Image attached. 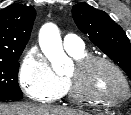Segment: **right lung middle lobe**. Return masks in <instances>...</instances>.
<instances>
[{"mask_svg": "<svg viewBox=\"0 0 131 115\" xmlns=\"http://www.w3.org/2000/svg\"><path fill=\"white\" fill-rule=\"evenodd\" d=\"M22 51L0 58V101L22 99V91L17 82Z\"/></svg>", "mask_w": 131, "mask_h": 115, "instance_id": "dd1d6c3e", "label": "right lung middle lobe"}]
</instances>
